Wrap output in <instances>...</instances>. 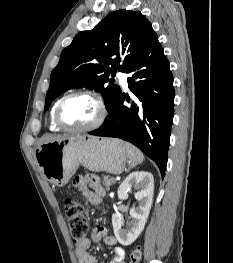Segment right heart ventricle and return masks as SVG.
<instances>
[{"label":"right heart ventricle","instance_id":"1","mask_svg":"<svg viewBox=\"0 0 233 263\" xmlns=\"http://www.w3.org/2000/svg\"><path fill=\"white\" fill-rule=\"evenodd\" d=\"M61 100L58 99L52 106L51 110H50V113H49V127L52 131H60L61 128L56 124L55 122V111H56V107L59 103V101Z\"/></svg>","mask_w":233,"mask_h":263}]
</instances>
